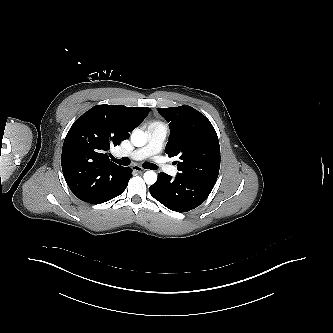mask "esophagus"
Listing matches in <instances>:
<instances>
[{
    "label": "esophagus",
    "instance_id": "obj_1",
    "mask_svg": "<svg viewBox=\"0 0 333 333\" xmlns=\"http://www.w3.org/2000/svg\"><path fill=\"white\" fill-rule=\"evenodd\" d=\"M132 169H133L134 171H136V172H139V173H142V172L145 171V169L142 168V167L139 166V165H133V166H132Z\"/></svg>",
    "mask_w": 333,
    "mask_h": 333
}]
</instances>
